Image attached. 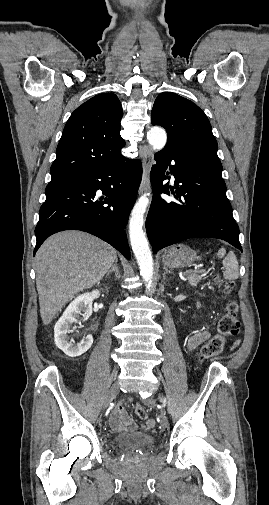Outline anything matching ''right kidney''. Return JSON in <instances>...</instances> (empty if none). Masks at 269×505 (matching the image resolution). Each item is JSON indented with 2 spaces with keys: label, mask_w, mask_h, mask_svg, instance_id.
I'll return each instance as SVG.
<instances>
[{
  "label": "right kidney",
  "mask_w": 269,
  "mask_h": 505,
  "mask_svg": "<svg viewBox=\"0 0 269 505\" xmlns=\"http://www.w3.org/2000/svg\"><path fill=\"white\" fill-rule=\"evenodd\" d=\"M100 292L93 290L75 298L64 311L54 327L55 343L67 356L77 357L84 354L93 343V336L87 335L80 343L73 344L68 340L70 327L79 320H87L92 314V302Z\"/></svg>",
  "instance_id": "ca27d5eb"
}]
</instances>
